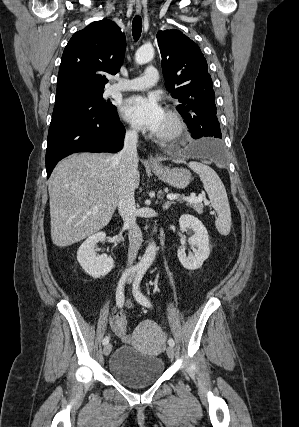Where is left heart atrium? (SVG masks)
I'll use <instances>...</instances> for the list:
<instances>
[{
  "label": "left heart atrium",
  "mask_w": 299,
  "mask_h": 427,
  "mask_svg": "<svg viewBox=\"0 0 299 427\" xmlns=\"http://www.w3.org/2000/svg\"><path fill=\"white\" fill-rule=\"evenodd\" d=\"M121 113L135 127L151 132H158L165 118V112L155 96H132L122 103Z\"/></svg>",
  "instance_id": "1"
}]
</instances>
